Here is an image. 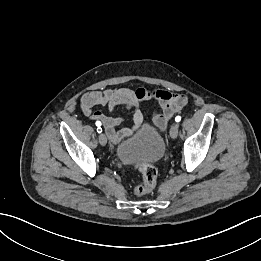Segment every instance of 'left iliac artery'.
Masks as SVG:
<instances>
[{
  "mask_svg": "<svg viewBox=\"0 0 261 261\" xmlns=\"http://www.w3.org/2000/svg\"><path fill=\"white\" fill-rule=\"evenodd\" d=\"M175 121L176 122H180L181 121V116H176Z\"/></svg>",
  "mask_w": 261,
  "mask_h": 261,
  "instance_id": "1",
  "label": "left iliac artery"
}]
</instances>
